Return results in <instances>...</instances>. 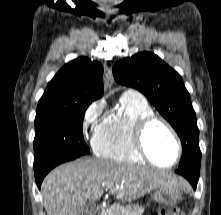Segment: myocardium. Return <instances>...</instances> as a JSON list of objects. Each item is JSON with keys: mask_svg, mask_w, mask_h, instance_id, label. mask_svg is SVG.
<instances>
[{"mask_svg": "<svg viewBox=\"0 0 221 215\" xmlns=\"http://www.w3.org/2000/svg\"><path fill=\"white\" fill-rule=\"evenodd\" d=\"M154 123H160L161 125H163L168 132L171 134L175 144H176V158L175 160L169 164V165H160L157 162H155L151 156L149 155L146 146H145V135L147 130L149 129V127L154 124ZM132 143L133 146L135 148V150L137 151V153L148 163L152 164L153 166H156L158 168L161 169H170L173 168L174 166H176L178 164V162L181 159L182 156V144L180 141V138L177 134V132L175 131V129L173 128V126L163 117H160L158 115L155 114H150L147 115L141 119H139L136 124L133 127L132 130Z\"/></svg>", "mask_w": 221, "mask_h": 215, "instance_id": "myocardium-1", "label": "myocardium"}]
</instances>
